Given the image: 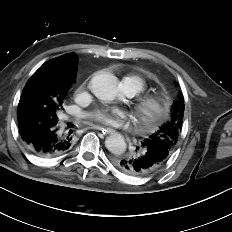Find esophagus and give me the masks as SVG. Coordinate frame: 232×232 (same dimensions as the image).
Segmentation results:
<instances>
[{"mask_svg":"<svg viewBox=\"0 0 232 232\" xmlns=\"http://www.w3.org/2000/svg\"><path fill=\"white\" fill-rule=\"evenodd\" d=\"M93 129L102 132L104 135L113 132V130L108 129V128H104V127H101V126H94Z\"/></svg>","mask_w":232,"mask_h":232,"instance_id":"34e87169","label":"esophagus"}]
</instances>
